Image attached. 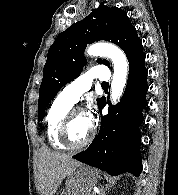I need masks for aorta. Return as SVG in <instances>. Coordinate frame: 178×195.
<instances>
[{
    "label": "aorta",
    "mask_w": 178,
    "mask_h": 195,
    "mask_svg": "<svg viewBox=\"0 0 178 195\" xmlns=\"http://www.w3.org/2000/svg\"><path fill=\"white\" fill-rule=\"evenodd\" d=\"M90 56H104L111 59L114 66L111 83V101L117 103L122 96L128 75V62L125 54L117 46L109 43H95L87 49Z\"/></svg>",
    "instance_id": "1"
}]
</instances>
